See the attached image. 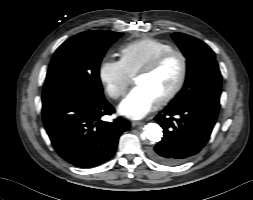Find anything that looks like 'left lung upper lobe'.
Listing matches in <instances>:
<instances>
[{"mask_svg": "<svg viewBox=\"0 0 253 200\" xmlns=\"http://www.w3.org/2000/svg\"><path fill=\"white\" fill-rule=\"evenodd\" d=\"M172 38L187 59V77L183 89L169 105H187L201 98L219 100L221 73L213 50L186 34L173 33Z\"/></svg>", "mask_w": 253, "mask_h": 200, "instance_id": "obj_1", "label": "left lung upper lobe"}]
</instances>
